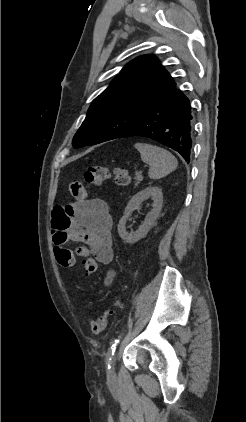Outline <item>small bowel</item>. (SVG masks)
I'll use <instances>...</instances> for the list:
<instances>
[{
    "label": "small bowel",
    "mask_w": 246,
    "mask_h": 422,
    "mask_svg": "<svg viewBox=\"0 0 246 422\" xmlns=\"http://www.w3.org/2000/svg\"><path fill=\"white\" fill-rule=\"evenodd\" d=\"M51 225L55 252L68 249L69 242H76L80 245L68 249L75 256L91 258L104 265L112 262V218L103 199L79 200L66 207L57 206L52 212ZM114 277L115 271L110 269L104 280L105 286H110Z\"/></svg>",
    "instance_id": "obj_1"
}]
</instances>
